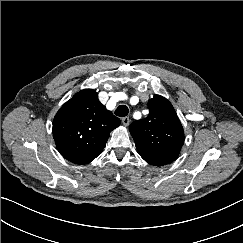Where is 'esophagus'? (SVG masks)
Here are the masks:
<instances>
[{
    "mask_svg": "<svg viewBox=\"0 0 243 243\" xmlns=\"http://www.w3.org/2000/svg\"><path fill=\"white\" fill-rule=\"evenodd\" d=\"M121 121H122V123H123L124 126H128L129 123H130V119H129V117H123V118L121 119Z\"/></svg>",
    "mask_w": 243,
    "mask_h": 243,
    "instance_id": "1",
    "label": "esophagus"
}]
</instances>
